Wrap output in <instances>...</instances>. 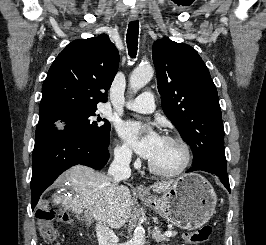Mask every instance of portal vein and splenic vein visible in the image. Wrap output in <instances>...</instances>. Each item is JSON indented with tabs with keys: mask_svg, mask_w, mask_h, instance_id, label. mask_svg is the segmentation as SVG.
<instances>
[{
	"mask_svg": "<svg viewBox=\"0 0 266 245\" xmlns=\"http://www.w3.org/2000/svg\"><path fill=\"white\" fill-rule=\"evenodd\" d=\"M164 235L165 237H172L173 231H165Z\"/></svg>",
	"mask_w": 266,
	"mask_h": 245,
	"instance_id": "portal-vein-and-splenic-vein-1",
	"label": "portal vein and splenic vein"
}]
</instances>
